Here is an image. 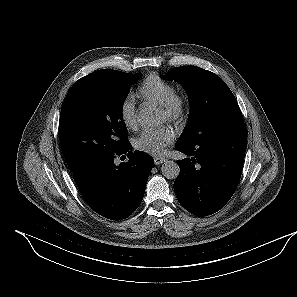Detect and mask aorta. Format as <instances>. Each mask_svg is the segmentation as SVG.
<instances>
[{
    "label": "aorta",
    "mask_w": 297,
    "mask_h": 297,
    "mask_svg": "<svg viewBox=\"0 0 297 297\" xmlns=\"http://www.w3.org/2000/svg\"><path fill=\"white\" fill-rule=\"evenodd\" d=\"M138 123L143 127H153L159 123V116L153 108H143L140 110ZM162 174L167 179H175L179 175L180 168L174 161H165L161 167Z\"/></svg>",
    "instance_id": "762f6f07"
}]
</instances>
